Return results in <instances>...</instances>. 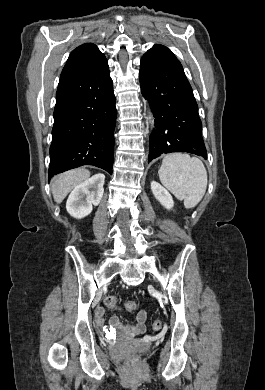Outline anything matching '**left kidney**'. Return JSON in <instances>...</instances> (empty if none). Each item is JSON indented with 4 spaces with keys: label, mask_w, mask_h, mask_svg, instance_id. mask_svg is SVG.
I'll return each mask as SVG.
<instances>
[{
    "label": "left kidney",
    "mask_w": 265,
    "mask_h": 390,
    "mask_svg": "<svg viewBox=\"0 0 265 390\" xmlns=\"http://www.w3.org/2000/svg\"><path fill=\"white\" fill-rule=\"evenodd\" d=\"M151 190L154 197L162 206L170 210L174 206V201L171 194L161 184L156 181L151 182Z\"/></svg>",
    "instance_id": "left-kidney-1"
}]
</instances>
